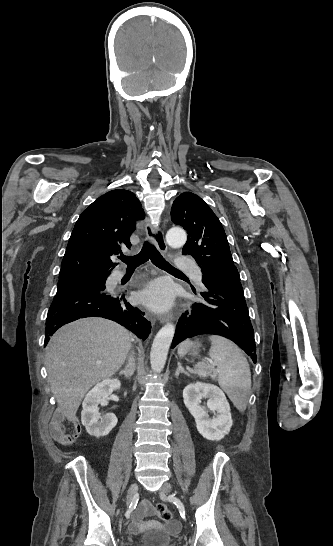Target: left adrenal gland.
<instances>
[{
	"mask_svg": "<svg viewBox=\"0 0 333 546\" xmlns=\"http://www.w3.org/2000/svg\"><path fill=\"white\" fill-rule=\"evenodd\" d=\"M180 373H184V374H186L187 376H190V374H189L188 372H186V371L184 370V368L181 366V363L178 362V368H177V370H176L175 376L178 378V376H179Z\"/></svg>",
	"mask_w": 333,
	"mask_h": 546,
	"instance_id": "1",
	"label": "left adrenal gland"
}]
</instances>
